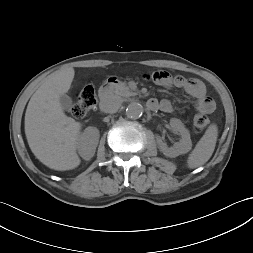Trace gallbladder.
Masks as SVG:
<instances>
[{"mask_svg": "<svg viewBox=\"0 0 253 253\" xmlns=\"http://www.w3.org/2000/svg\"><path fill=\"white\" fill-rule=\"evenodd\" d=\"M59 102L63 110L70 111L73 102L72 99L67 94L60 95Z\"/></svg>", "mask_w": 253, "mask_h": 253, "instance_id": "bac80fb5", "label": "gallbladder"}]
</instances>
